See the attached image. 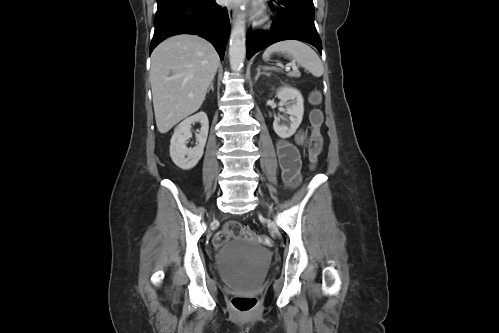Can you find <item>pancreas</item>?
<instances>
[{
	"instance_id": "1",
	"label": "pancreas",
	"mask_w": 499,
	"mask_h": 333,
	"mask_svg": "<svg viewBox=\"0 0 499 333\" xmlns=\"http://www.w3.org/2000/svg\"><path fill=\"white\" fill-rule=\"evenodd\" d=\"M289 77H296L299 78L301 76V73L296 69L287 74Z\"/></svg>"
}]
</instances>
